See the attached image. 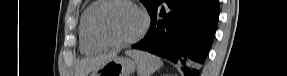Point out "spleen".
Returning <instances> with one entry per match:
<instances>
[{"label": "spleen", "mask_w": 287, "mask_h": 76, "mask_svg": "<svg viewBox=\"0 0 287 76\" xmlns=\"http://www.w3.org/2000/svg\"><path fill=\"white\" fill-rule=\"evenodd\" d=\"M126 54L136 62L138 76H151L163 65L161 59L151 53L133 50L127 51Z\"/></svg>", "instance_id": "3e777b00"}]
</instances>
